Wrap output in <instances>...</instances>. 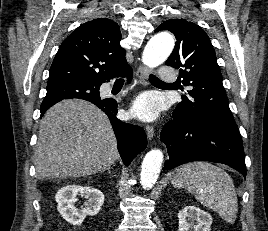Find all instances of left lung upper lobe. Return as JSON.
<instances>
[{
    "instance_id": "obj_1",
    "label": "left lung upper lobe",
    "mask_w": 268,
    "mask_h": 231,
    "mask_svg": "<svg viewBox=\"0 0 268 231\" xmlns=\"http://www.w3.org/2000/svg\"><path fill=\"white\" fill-rule=\"evenodd\" d=\"M168 30L176 37L166 65L179 69L180 80L193 87L174 113L185 118L213 121L238 131L229 109L222 75L208 35L198 25L183 19L163 22L155 32Z\"/></svg>"
}]
</instances>
